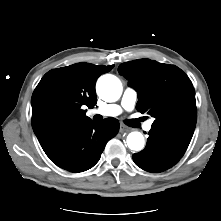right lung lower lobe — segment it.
<instances>
[{
    "label": "right lung lower lobe",
    "mask_w": 221,
    "mask_h": 221,
    "mask_svg": "<svg viewBox=\"0 0 221 221\" xmlns=\"http://www.w3.org/2000/svg\"><path fill=\"white\" fill-rule=\"evenodd\" d=\"M118 130L119 122L115 118H106L102 122L91 120L64 129L42 148L58 167L83 172L98 162L106 143Z\"/></svg>",
    "instance_id": "98d812e1"
}]
</instances>
